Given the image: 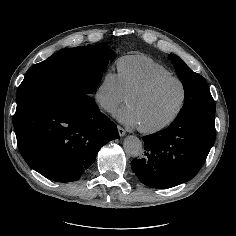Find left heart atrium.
Listing matches in <instances>:
<instances>
[{"instance_id": "39dd6f15", "label": "left heart atrium", "mask_w": 236, "mask_h": 236, "mask_svg": "<svg viewBox=\"0 0 236 236\" xmlns=\"http://www.w3.org/2000/svg\"><path fill=\"white\" fill-rule=\"evenodd\" d=\"M115 117L121 123L129 126L138 125L137 116L135 111L130 107H125L115 113Z\"/></svg>"}]
</instances>
